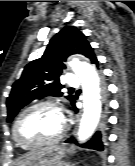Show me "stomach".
Here are the masks:
<instances>
[{
    "label": "stomach",
    "instance_id": "0dacf381",
    "mask_svg": "<svg viewBox=\"0 0 135 166\" xmlns=\"http://www.w3.org/2000/svg\"><path fill=\"white\" fill-rule=\"evenodd\" d=\"M68 150L64 146H50L32 153L25 166H69L62 161Z\"/></svg>",
    "mask_w": 135,
    "mask_h": 166
}]
</instances>
